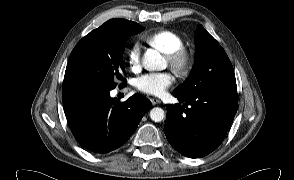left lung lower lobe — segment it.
Listing matches in <instances>:
<instances>
[{
  "mask_svg": "<svg viewBox=\"0 0 294 180\" xmlns=\"http://www.w3.org/2000/svg\"><path fill=\"white\" fill-rule=\"evenodd\" d=\"M173 95L180 103L166 105L164 133L168 142L190 158L214 151L231 127L238 109V95L220 91L192 94L173 91Z\"/></svg>",
  "mask_w": 294,
  "mask_h": 180,
  "instance_id": "1",
  "label": "left lung lower lobe"
}]
</instances>
